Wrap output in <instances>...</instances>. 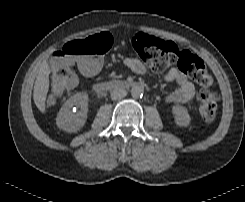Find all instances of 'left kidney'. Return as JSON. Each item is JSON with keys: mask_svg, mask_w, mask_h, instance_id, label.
Instances as JSON below:
<instances>
[{"mask_svg": "<svg viewBox=\"0 0 245 202\" xmlns=\"http://www.w3.org/2000/svg\"><path fill=\"white\" fill-rule=\"evenodd\" d=\"M172 111L175 117V123L179 126H188L191 118L188 110L183 106H173Z\"/></svg>", "mask_w": 245, "mask_h": 202, "instance_id": "left-kidney-1", "label": "left kidney"}]
</instances>
